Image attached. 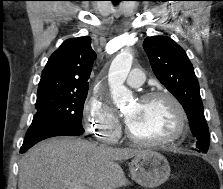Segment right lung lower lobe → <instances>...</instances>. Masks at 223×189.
<instances>
[{"label":"right lung lower lobe","mask_w":223,"mask_h":189,"mask_svg":"<svg viewBox=\"0 0 223 189\" xmlns=\"http://www.w3.org/2000/svg\"><path fill=\"white\" fill-rule=\"evenodd\" d=\"M83 134L81 131L72 129L70 126L51 121L33 120L30 125L20 149V153L26 152L33 145L41 140L54 136H78Z\"/></svg>","instance_id":"right-lung-lower-lobe-1"}]
</instances>
